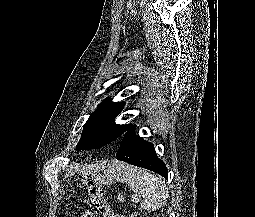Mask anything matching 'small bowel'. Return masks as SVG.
<instances>
[{"mask_svg":"<svg viewBox=\"0 0 255 217\" xmlns=\"http://www.w3.org/2000/svg\"><path fill=\"white\" fill-rule=\"evenodd\" d=\"M107 205V211L102 213L105 217H111V211H110V208L108 206V204L106 203ZM79 217H94V214L91 212V211H84L80 214Z\"/></svg>","mask_w":255,"mask_h":217,"instance_id":"1","label":"small bowel"}]
</instances>
